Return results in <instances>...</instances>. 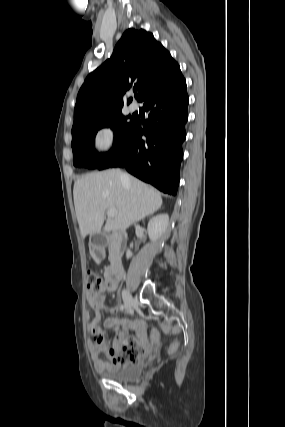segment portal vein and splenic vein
<instances>
[{"mask_svg":"<svg viewBox=\"0 0 285 427\" xmlns=\"http://www.w3.org/2000/svg\"><path fill=\"white\" fill-rule=\"evenodd\" d=\"M116 214H117V211L115 209H108L107 210L108 217H114V216H116Z\"/></svg>","mask_w":285,"mask_h":427,"instance_id":"portal-vein-and-splenic-vein-1","label":"portal vein and splenic vein"}]
</instances>
